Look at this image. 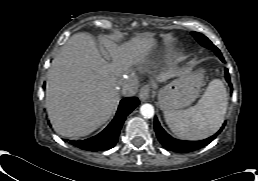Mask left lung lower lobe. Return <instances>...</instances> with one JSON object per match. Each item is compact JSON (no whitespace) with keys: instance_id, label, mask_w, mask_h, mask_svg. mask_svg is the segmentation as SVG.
<instances>
[{"instance_id":"left-lung-lower-lobe-1","label":"left lung lower lobe","mask_w":258,"mask_h":181,"mask_svg":"<svg viewBox=\"0 0 258 181\" xmlns=\"http://www.w3.org/2000/svg\"><path fill=\"white\" fill-rule=\"evenodd\" d=\"M221 60L224 62L223 58H221ZM225 74H226V81L228 82V84L230 85V87L232 89L229 72L227 69L225 70ZM223 128H224V125L221 127V129L216 134H214L213 136H211L207 139H204L201 141H196V142H183V141L172 138L161 127L158 119L156 117L154 119V129L156 132V136H157L158 140L160 141V143L162 144V146L170 151H174V152H178V153H188V152L200 149V148L208 145L212 140H214L216 138V136L222 131Z\"/></svg>"}]
</instances>
